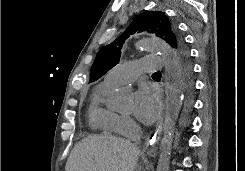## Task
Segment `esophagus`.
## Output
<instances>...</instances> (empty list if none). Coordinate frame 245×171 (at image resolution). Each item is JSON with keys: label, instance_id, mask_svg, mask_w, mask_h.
Masks as SVG:
<instances>
[{"label": "esophagus", "instance_id": "obj_1", "mask_svg": "<svg viewBox=\"0 0 245 171\" xmlns=\"http://www.w3.org/2000/svg\"><path fill=\"white\" fill-rule=\"evenodd\" d=\"M163 119H164V111L162 112V115L160 116L157 124H156V127H155V130L154 132L149 135L146 139V142H145V145H144V151L148 154V155H151L154 153V146L155 144L157 143L159 137H160V134H161V131H162V125H163Z\"/></svg>", "mask_w": 245, "mask_h": 171}]
</instances>
